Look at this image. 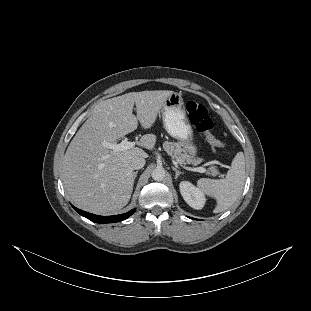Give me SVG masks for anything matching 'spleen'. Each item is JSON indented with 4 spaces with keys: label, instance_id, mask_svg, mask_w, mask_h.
<instances>
[{
    "label": "spleen",
    "instance_id": "3e777b00",
    "mask_svg": "<svg viewBox=\"0 0 311 311\" xmlns=\"http://www.w3.org/2000/svg\"><path fill=\"white\" fill-rule=\"evenodd\" d=\"M244 182L245 157L243 152H238L224 179L201 178L197 181V186L206 195L216 198L218 205L214 213H219L237 201L242 194Z\"/></svg>",
    "mask_w": 311,
    "mask_h": 311
}]
</instances>
